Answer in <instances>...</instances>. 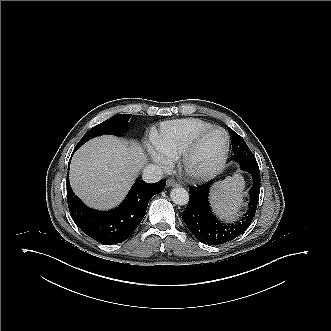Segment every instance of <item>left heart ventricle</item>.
Masks as SVG:
<instances>
[{
  "mask_svg": "<svg viewBox=\"0 0 331 331\" xmlns=\"http://www.w3.org/2000/svg\"><path fill=\"white\" fill-rule=\"evenodd\" d=\"M225 138L219 132H213L206 136L196 151L194 157L190 161V166L193 169H203L214 164L224 149Z\"/></svg>",
  "mask_w": 331,
  "mask_h": 331,
  "instance_id": "left-heart-ventricle-1",
  "label": "left heart ventricle"
}]
</instances>
